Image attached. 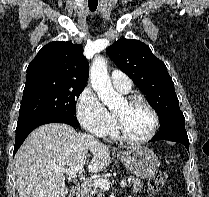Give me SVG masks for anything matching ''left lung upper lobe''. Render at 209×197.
<instances>
[{"label": "left lung upper lobe", "mask_w": 209, "mask_h": 197, "mask_svg": "<svg viewBox=\"0 0 209 197\" xmlns=\"http://www.w3.org/2000/svg\"><path fill=\"white\" fill-rule=\"evenodd\" d=\"M106 52L148 97V103L159 115L160 129L172 123L185 122L172 78L164 62L155 57L146 44L121 38Z\"/></svg>", "instance_id": "obj_1"}]
</instances>
